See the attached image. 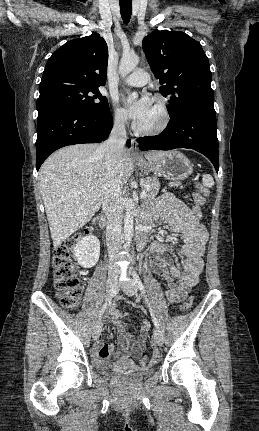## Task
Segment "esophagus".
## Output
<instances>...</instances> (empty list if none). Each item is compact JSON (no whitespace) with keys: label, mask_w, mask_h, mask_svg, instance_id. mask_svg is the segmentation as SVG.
Instances as JSON below:
<instances>
[{"label":"esophagus","mask_w":259,"mask_h":431,"mask_svg":"<svg viewBox=\"0 0 259 431\" xmlns=\"http://www.w3.org/2000/svg\"><path fill=\"white\" fill-rule=\"evenodd\" d=\"M131 153L135 158L140 157L139 150H138V143L136 139L131 140Z\"/></svg>","instance_id":"34e87169"}]
</instances>
